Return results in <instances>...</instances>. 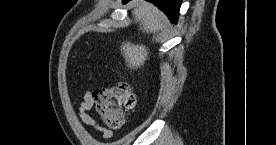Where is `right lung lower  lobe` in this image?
<instances>
[{
    "instance_id": "98d812e1",
    "label": "right lung lower lobe",
    "mask_w": 276,
    "mask_h": 145,
    "mask_svg": "<svg viewBox=\"0 0 276 145\" xmlns=\"http://www.w3.org/2000/svg\"><path fill=\"white\" fill-rule=\"evenodd\" d=\"M129 0H123L127 3ZM158 6L170 19L171 22H177L181 0H148Z\"/></svg>"
}]
</instances>
